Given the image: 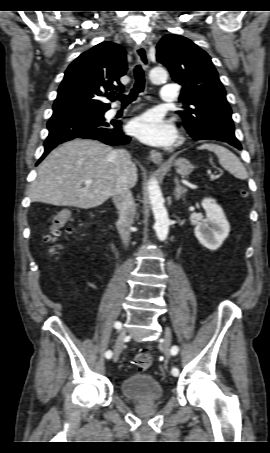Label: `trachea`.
Masks as SVG:
<instances>
[{"label":"trachea","instance_id":"trachea-1","mask_svg":"<svg viewBox=\"0 0 270 453\" xmlns=\"http://www.w3.org/2000/svg\"><path fill=\"white\" fill-rule=\"evenodd\" d=\"M135 83L128 95L118 94L117 99L121 101L123 105H127L134 101L139 93L144 91L145 88V76L144 71L140 65L134 68Z\"/></svg>","mask_w":270,"mask_h":453}]
</instances>
